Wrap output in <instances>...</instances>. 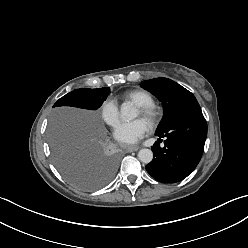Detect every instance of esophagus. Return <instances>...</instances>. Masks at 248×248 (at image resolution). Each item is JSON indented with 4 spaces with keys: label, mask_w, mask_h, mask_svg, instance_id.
<instances>
[{
    "label": "esophagus",
    "mask_w": 248,
    "mask_h": 248,
    "mask_svg": "<svg viewBox=\"0 0 248 248\" xmlns=\"http://www.w3.org/2000/svg\"><path fill=\"white\" fill-rule=\"evenodd\" d=\"M124 149L126 150V152H134L138 150L137 146H125Z\"/></svg>",
    "instance_id": "34e87169"
}]
</instances>
